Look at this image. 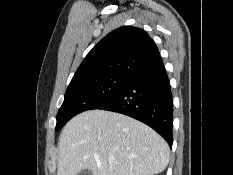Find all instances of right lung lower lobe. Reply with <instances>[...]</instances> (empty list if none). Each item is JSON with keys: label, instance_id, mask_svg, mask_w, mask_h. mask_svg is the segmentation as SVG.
Wrapping results in <instances>:
<instances>
[{"label": "right lung lower lobe", "instance_id": "98d812e1", "mask_svg": "<svg viewBox=\"0 0 233 175\" xmlns=\"http://www.w3.org/2000/svg\"><path fill=\"white\" fill-rule=\"evenodd\" d=\"M96 109L135 118L157 131L172 146L173 100L162 60L132 76L113 98Z\"/></svg>", "mask_w": 233, "mask_h": 175}]
</instances>
